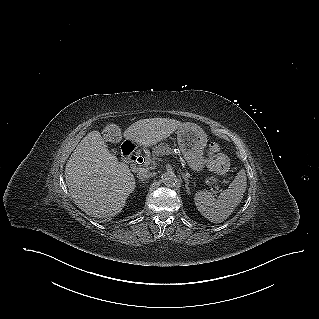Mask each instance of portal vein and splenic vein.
Instances as JSON below:
<instances>
[{
  "instance_id": "obj_1",
  "label": "portal vein and splenic vein",
  "mask_w": 319,
  "mask_h": 319,
  "mask_svg": "<svg viewBox=\"0 0 319 319\" xmlns=\"http://www.w3.org/2000/svg\"><path fill=\"white\" fill-rule=\"evenodd\" d=\"M145 163H149V162H145ZM210 183L211 184H214V182H212V180L210 179ZM206 182H209L208 180L206 181ZM214 187L218 190V186H216V185H214ZM214 193L216 194V193H218V191H214Z\"/></svg>"
}]
</instances>
